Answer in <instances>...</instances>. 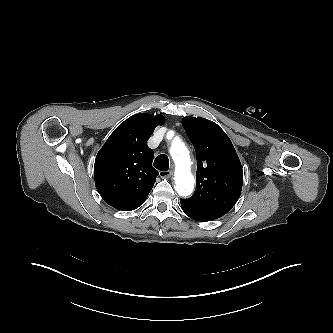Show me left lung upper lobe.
<instances>
[{"instance_id": "left-lung-upper-lobe-1", "label": "left lung upper lobe", "mask_w": 333, "mask_h": 333, "mask_svg": "<svg viewBox=\"0 0 333 333\" xmlns=\"http://www.w3.org/2000/svg\"><path fill=\"white\" fill-rule=\"evenodd\" d=\"M182 124L196 150V191L183 202L225 215L238 201L243 171L235 148L220 126L205 118L184 117Z\"/></svg>"}]
</instances>
